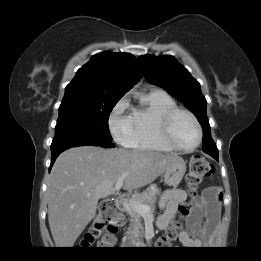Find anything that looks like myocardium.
Returning a JSON list of instances; mask_svg holds the SVG:
<instances>
[{"label": "myocardium", "instance_id": "f54148a6", "mask_svg": "<svg viewBox=\"0 0 261 261\" xmlns=\"http://www.w3.org/2000/svg\"><path fill=\"white\" fill-rule=\"evenodd\" d=\"M179 114H186L187 116H189L197 128L198 140L191 147L180 146L174 140L173 133H172V124L175 118L177 117V115ZM159 127L164 142L173 150L182 151V152H192L200 146L203 139V130L198 118L190 110L184 108L175 107L165 112L160 118Z\"/></svg>", "mask_w": 261, "mask_h": 261}]
</instances>
